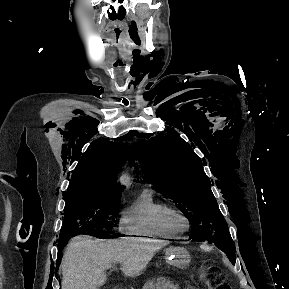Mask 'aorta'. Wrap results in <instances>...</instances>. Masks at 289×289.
<instances>
[{
	"label": "aorta",
	"mask_w": 289,
	"mask_h": 289,
	"mask_svg": "<svg viewBox=\"0 0 289 289\" xmlns=\"http://www.w3.org/2000/svg\"><path fill=\"white\" fill-rule=\"evenodd\" d=\"M120 182L123 186H125L126 188H129L131 186V182H130V178L128 177V175L123 174L120 177Z\"/></svg>",
	"instance_id": "aorta-1"
}]
</instances>
